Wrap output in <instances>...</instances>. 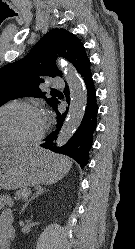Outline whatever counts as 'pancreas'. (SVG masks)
Listing matches in <instances>:
<instances>
[{"mask_svg":"<svg viewBox=\"0 0 135 249\" xmlns=\"http://www.w3.org/2000/svg\"><path fill=\"white\" fill-rule=\"evenodd\" d=\"M29 193H30V190L27 188L20 189L15 193V196H16L15 198L16 199H26L27 196L29 195Z\"/></svg>","mask_w":135,"mask_h":249,"instance_id":"obj_1","label":"pancreas"}]
</instances>
